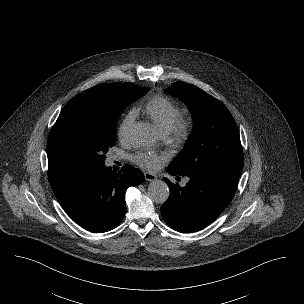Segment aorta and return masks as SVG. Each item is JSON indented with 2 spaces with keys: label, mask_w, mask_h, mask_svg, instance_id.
I'll return each mask as SVG.
<instances>
[{
  "label": "aorta",
  "mask_w": 304,
  "mask_h": 304,
  "mask_svg": "<svg viewBox=\"0 0 304 304\" xmlns=\"http://www.w3.org/2000/svg\"><path fill=\"white\" fill-rule=\"evenodd\" d=\"M132 144L136 147H147L151 144V127L138 123L130 135ZM169 187L162 180H153L148 186V195L156 203H164L169 197Z\"/></svg>",
  "instance_id": "obj_1"
}]
</instances>
